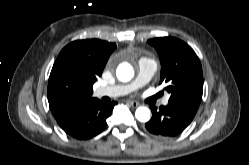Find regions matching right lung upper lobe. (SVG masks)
Returning a JSON list of instances; mask_svg holds the SVG:
<instances>
[{
	"mask_svg": "<svg viewBox=\"0 0 249 165\" xmlns=\"http://www.w3.org/2000/svg\"><path fill=\"white\" fill-rule=\"evenodd\" d=\"M116 45L98 39L71 42L58 55L48 82L53 115L94 100L93 84L101 76Z\"/></svg>",
	"mask_w": 249,
	"mask_h": 165,
	"instance_id": "obj_1",
	"label": "right lung upper lobe"
}]
</instances>
